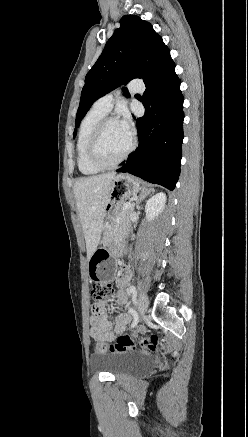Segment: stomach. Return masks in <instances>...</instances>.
Returning <instances> with one entry per match:
<instances>
[{
  "mask_svg": "<svg viewBox=\"0 0 248 437\" xmlns=\"http://www.w3.org/2000/svg\"><path fill=\"white\" fill-rule=\"evenodd\" d=\"M141 190L142 186L135 177L128 174L115 176L104 217L114 222L119 215L122 204ZM107 241L108 246L96 249L89 259L90 264H87L86 267L89 279H93L94 286H111L113 274L116 271V259L112 256L109 247L113 239L108 235Z\"/></svg>",
  "mask_w": 248,
  "mask_h": 437,
  "instance_id": "stomach-1",
  "label": "stomach"
}]
</instances>
